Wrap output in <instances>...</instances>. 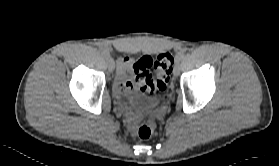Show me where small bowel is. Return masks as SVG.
I'll use <instances>...</instances> for the list:
<instances>
[{
  "label": "small bowel",
  "mask_w": 279,
  "mask_h": 166,
  "mask_svg": "<svg viewBox=\"0 0 279 166\" xmlns=\"http://www.w3.org/2000/svg\"><path fill=\"white\" fill-rule=\"evenodd\" d=\"M133 60L128 56H120L116 60V75L114 88L117 92H132L136 90L135 82L132 78Z\"/></svg>",
  "instance_id": "obj_1"
}]
</instances>
